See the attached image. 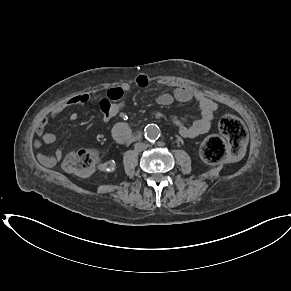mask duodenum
<instances>
[{
	"mask_svg": "<svg viewBox=\"0 0 291 291\" xmlns=\"http://www.w3.org/2000/svg\"><path fill=\"white\" fill-rule=\"evenodd\" d=\"M140 136H141L140 133H135V134H134V138H135V139L140 138Z\"/></svg>",
	"mask_w": 291,
	"mask_h": 291,
	"instance_id": "duodenum-1",
	"label": "duodenum"
}]
</instances>
